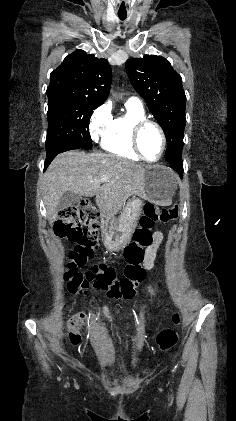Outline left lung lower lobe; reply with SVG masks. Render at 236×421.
Masks as SVG:
<instances>
[{"mask_svg":"<svg viewBox=\"0 0 236 421\" xmlns=\"http://www.w3.org/2000/svg\"><path fill=\"white\" fill-rule=\"evenodd\" d=\"M169 166L174 169L179 176L182 178L183 177V163L182 162H177V163H169Z\"/></svg>","mask_w":236,"mask_h":421,"instance_id":"left-lung-lower-lobe-1","label":"left lung lower lobe"}]
</instances>
